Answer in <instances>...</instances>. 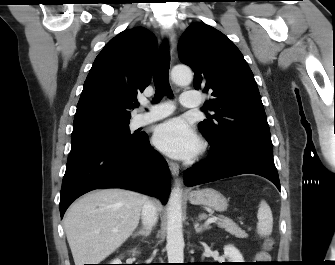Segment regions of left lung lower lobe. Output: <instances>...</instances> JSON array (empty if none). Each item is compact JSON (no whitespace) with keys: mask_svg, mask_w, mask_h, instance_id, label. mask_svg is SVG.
Returning <instances> with one entry per match:
<instances>
[{"mask_svg":"<svg viewBox=\"0 0 335 265\" xmlns=\"http://www.w3.org/2000/svg\"><path fill=\"white\" fill-rule=\"evenodd\" d=\"M211 155L187 169L185 185L195 186L245 173L257 174L270 180L280 190L278 172L273 160L272 145L251 139L209 141Z\"/></svg>","mask_w":335,"mask_h":265,"instance_id":"left-lung-lower-lobe-1","label":"left lung lower lobe"}]
</instances>
